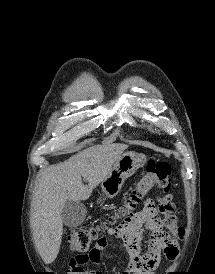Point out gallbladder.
<instances>
[{
  "mask_svg": "<svg viewBox=\"0 0 215 274\" xmlns=\"http://www.w3.org/2000/svg\"><path fill=\"white\" fill-rule=\"evenodd\" d=\"M86 207L78 201L66 200L62 208L63 223L68 227H77L86 217Z\"/></svg>",
  "mask_w": 215,
  "mask_h": 274,
  "instance_id": "bac80fb5",
  "label": "gallbladder"
}]
</instances>
